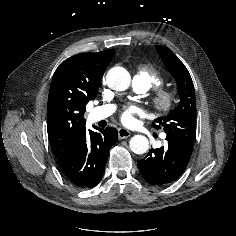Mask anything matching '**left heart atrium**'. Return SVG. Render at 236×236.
<instances>
[{
    "label": "left heart atrium",
    "instance_id": "left-heart-atrium-1",
    "mask_svg": "<svg viewBox=\"0 0 236 236\" xmlns=\"http://www.w3.org/2000/svg\"><path fill=\"white\" fill-rule=\"evenodd\" d=\"M140 109L136 106H130L122 113L121 119L125 125H132L135 122L134 116L140 114Z\"/></svg>",
    "mask_w": 236,
    "mask_h": 236
}]
</instances>
